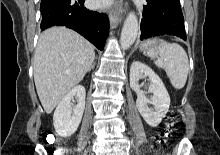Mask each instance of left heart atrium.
<instances>
[{"label":"left heart atrium","instance_id":"obj_1","mask_svg":"<svg viewBox=\"0 0 220 155\" xmlns=\"http://www.w3.org/2000/svg\"><path fill=\"white\" fill-rule=\"evenodd\" d=\"M113 0H94V5L99 8L108 7Z\"/></svg>","mask_w":220,"mask_h":155}]
</instances>
